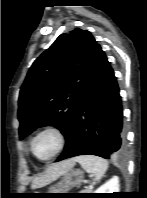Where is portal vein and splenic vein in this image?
I'll use <instances>...</instances> for the list:
<instances>
[{
    "instance_id": "1",
    "label": "portal vein and splenic vein",
    "mask_w": 147,
    "mask_h": 198,
    "mask_svg": "<svg viewBox=\"0 0 147 198\" xmlns=\"http://www.w3.org/2000/svg\"><path fill=\"white\" fill-rule=\"evenodd\" d=\"M89 188L91 189L92 188V185H90Z\"/></svg>"
}]
</instances>
